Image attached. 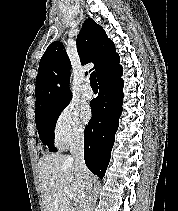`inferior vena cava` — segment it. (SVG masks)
Returning a JSON list of instances; mask_svg holds the SVG:
<instances>
[{
  "label": "inferior vena cava",
  "mask_w": 178,
  "mask_h": 211,
  "mask_svg": "<svg viewBox=\"0 0 178 211\" xmlns=\"http://www.w3.org/2000/svg\"><path fill=\"white\" fill-rule=\"evenodd\" d=\"M70 152L74 159L75 165L77 166L80 175L83 179L82 183V203L80 205V211H91V189H92V178L89 174V170L86 167L84 161V135L83 132H78L73 137L70 143Z\"/></svg>",
  "instance_id": "obj_1"
}]
</instances>
